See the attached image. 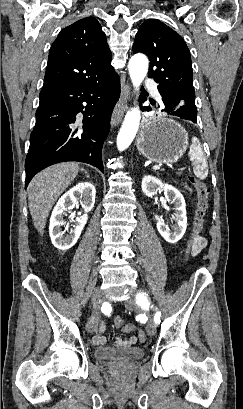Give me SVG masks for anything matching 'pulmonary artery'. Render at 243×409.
Masks as SVG:
<instances>
[{"label": "pulmonary artery", "mask_w": 243, "mask_h": 409, "mask_svg": "<svg viewBox=\"0 0 243 409\" xmlns=\"http://www.w3.org/2000/svg\"><path fill=\"white\" fill-rule=\"evenodd\" d=\"M145 83H146V85L149 87L151 93H152L155 97H159V96H160V94H159V92H158V89H157L155 83L153 82V80L147 79V80L145 81Z\"/></svg>", "instance_id": "obj_1"}]
</instances>
